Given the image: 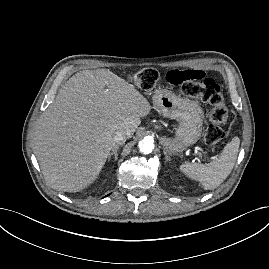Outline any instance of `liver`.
<instances>
[{"instance_id":"obj_1","label":"liver","mask_w":269,"mask_h":269,"mask_svg":"<svg viewBox=\"0 0 269 269\" xmlns=\"http://www.w3.org/2000/svg\"><path fill=\"white\" fill-rule=\"evenodd\" d=\"M151 108L132 84L108 69L77 72L37 125L35 153L45 180L64 192L89 186L114 147L115 132L132 137Z\"/></svg>"}]
</instances>
